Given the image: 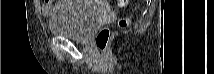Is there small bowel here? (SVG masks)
<instances>
[{
  "label": "small bowel",
  "instance_id": "obj_1",
  "mask_svg": "<svg viewBox=\"0 0 214 74\" xmlns=\"http://www.w3.org/2000/svg\"><path fill=\"white\" fill-rule=\"evenodd\" d=\"M98 4H101L102 2H97ZM71 5V2L70 1H59L55 4V6L53 7L51 5L50 2H45L43 5H42V14L44 16H52L54 13H55V10L57 8H64V7H67Z\"/></svg>",
  "mask_w": 214,
  "mask_h": 74
}]
</instances>
